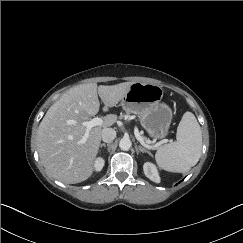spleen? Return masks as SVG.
Listing matches in <instances>:
<instances>
[{
	"mask_svg": "<svg viewBox=\"0 0 243 243\" xmlns=\"http://www.w3.org/2000/svg\"><path fill=\"white\" fill-rule=\"evenodd\" d=\"M176 139L175 142L160 146L155 160L163 170L186 173L198 163L202 151L201 128L193 113H184Z\"/></svg>",
	"mask_w": 243,
	"mask_h": 243,
	"instance_id": "spleen-1",
	"label": "spleen"
}]
</instances>
